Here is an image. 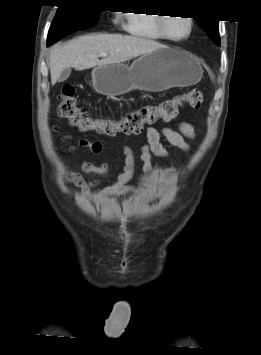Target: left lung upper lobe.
Segmentation results:
<instances>
[{"label": "left lung upper lobe", "mask_w": 261, "mask_h": 355, "mask_svg": "<svg viewBox=\"0 0 261 355\" xmlns=\"http://www.w3.org/2000/svg\"><path fill=\"white\" fill-rule=\"evenodd\" d=\"M209 38L217 44H220L218 31V20L196 19Z\"/></svg>", "instance_id": "obj_1"}]
</instances>
